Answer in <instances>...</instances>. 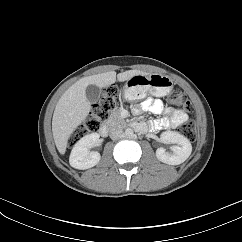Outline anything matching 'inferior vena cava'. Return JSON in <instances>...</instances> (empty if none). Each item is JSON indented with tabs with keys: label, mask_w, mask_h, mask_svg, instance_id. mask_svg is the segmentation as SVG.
Returning a JSON list of instances; mask_svg holds the SVG:
<instances>
[{
	"label": "inferior vena cava",
	"mask_w": 242,
	"mask_h": 242,
	"mask_svg": "<svg viewBox=\"0 0 242 242\" xmlns=\"http://www.w3.org/2000/svg\"><path fill=\"white\" fill-rule=\"evenodd\" d=\"M124 133L123 130L119 127H112L109 133V136L112 140H117L123 137Z\"/></svg>",
	"instance_id": "obj_1"
}]
</instances>
